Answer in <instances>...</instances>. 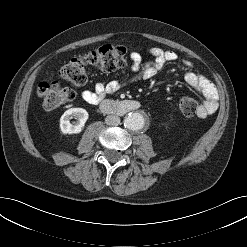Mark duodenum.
Returning <instances> with one entry per match:
<instances>
[{
	"mask_svg": "<svg viewBox=\"0 0 247 247\" xmlns=\"http://www.w3.org/2000/svg\"><path fill=\"white\" fill-rule=\"evenodd\" d=\"M141 108V104L136 100H104L100 103V109L103 112L124 115L130 112L137 111Z\"/></svg>",
	"mask_w": 247,
	"mask_h": 247,
	"instance_id": "duodenum-1",
	"label": "duodenum"
}]
</instances>
